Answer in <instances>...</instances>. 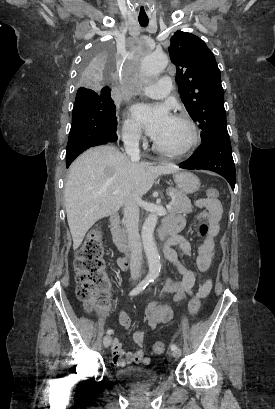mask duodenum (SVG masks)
I'll use <instances>...</instances> for the list:
<instances>
[{
	"label": "duodenum",
	"mask_w": 275,
	"mask_h": 409,
	"mask_svg": "<svg viewBox=\"0 0 275 409\" xmlns=\"http://www.w3.org/2000/svg\"><path fill=\"white\" fill-rule=\"evenodd\" d=\"M110 228L113 236V241L117 248L126 255L131 254V245L125 231L120 225V218L118 214H113L110 217ZM179 230L178 225L174 223H164L160 229V237L164 238L167 235H172Z\"/></svg>",
	"instance_id": "1"
}]
</instances>
